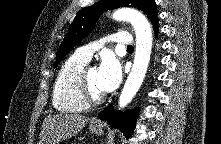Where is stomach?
Listing matches in <instances>:
<instances>
[{
  "mask_svg": "<svg viewBox=\"0 0 221 144\" xmlns=\"http://www.w3.org/2000/svg\"><path fill=\"white\" fill-rule=\"evenodd\" d=\"M89 129L92 133H94L95 135H103L104 134V128L102 124H93L91 123L89 125Z\"/></svg>",
  "mask_w": 221,
  "mask_h": 144,
  "instance_id": "obj_1",
  "label": "stomach"
}]
</instances>
